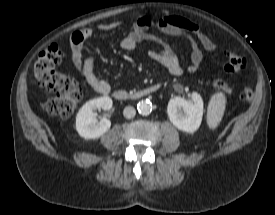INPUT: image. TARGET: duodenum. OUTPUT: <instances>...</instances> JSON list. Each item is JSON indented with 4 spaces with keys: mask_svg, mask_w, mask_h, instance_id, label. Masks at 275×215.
I'll list each match as a JSON object with an SVG mask.
<instances>
[{
    "mask_svg": "<svg viewBox=\"0 0 275 215\" xmlns=\"http://www.w3.org/2000/svg\"><path fill=\"white\" fill-rule=\"evenodd\" d=\"M162 87L161 83H156L147 87H144L142 89H139L135 92L129 93L124 90H115L113 92V97L114 99L118 101H133V100H138L144 97H147L151 94H154L158 92Z\"/></svg>",
    "mask_w": 275,
    "mask_h": 215,
    "instance_id": "obj_1",
    "label": "duodenum"
}]
</instances>
